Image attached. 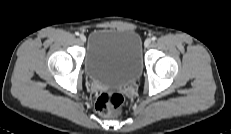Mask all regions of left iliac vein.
Wrapping results in <instances>:
<instances>
[{"label":"left iliac vein","mask_w":231,"mask_h":134,"mask_svg":"<svg viewBox=\"0 0 231 134\" xmlns=\"http://www.w3.org/2000/svg\"><path fill=\"white\" fill-rule=\"evenodd\" d=\"M151 45V40L150 39H146L144 42V46L145 47H149Z\"/></svg>","instance_id":"left-iliac-vein-1"}]
</instances>
